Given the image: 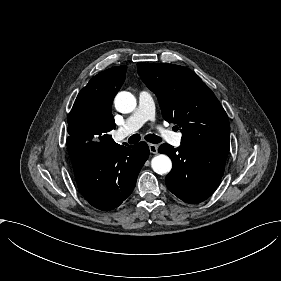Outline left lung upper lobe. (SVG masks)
I'll list each match as a JSON object with an SVG mask.
<instances>
[{"label":"left lung upper lobe","instance_id":"1","mask_svg":"<svg viewBox=\"0 0 281 281\" xmlns=\"http://www.w3.org/2000/svg\"><path fill=\"white\" fill-rule=\"evenodd\" d=\"M137 67L143 82L156 94L163 118L181 128V145L229 147L227 114L197 74L173 64L139 62Z\"/></svg>","mask_w":281,"mask_h":281}]
</instances>
